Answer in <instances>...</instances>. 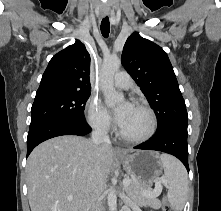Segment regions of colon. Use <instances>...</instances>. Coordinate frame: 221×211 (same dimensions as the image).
Returning <instances> with one entry per match:
<instances>
[{
  "label": "colon",
  "instance_id": "colon-1",
  "mask_svg": "<svg viewBox=\"0 0 221 211\" xmlns=\"http://www.w3.org/2000/svg\"><path fill=\"white\" fill-rule=\"evenodd\" d=\"M163 211H173L172 206L166 200L163 203Z\"/></svg>",
  "mask_w": 221,
  "mask_h": 211
}]
</instances>
